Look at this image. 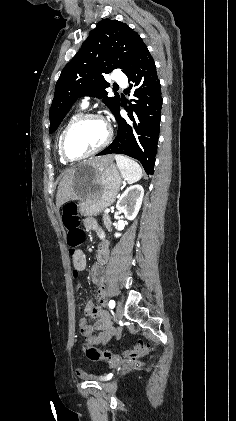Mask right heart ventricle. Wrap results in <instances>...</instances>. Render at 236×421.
I'll list each match as a JSON object with an SVG mask.
<instances>
[{"label": "right heart ventricle", "instance_id": "right-heart-ventricle-1", "mask_svg": "<svg viewBox=\"0 0 236 421\" xmlns=\"http://www.w3.org/2000/svg\"><path fill=\"white\" fill-rule=\"evenodd\" d=\"M76 116H77V114H74L73 116H71V117L68 119L67 123H66V124H65V126L63 127V129H62V131H61V133H60V135H59V137H58V141H57L58 154H59V157H60V161H61L62 163H64V164H66L67 162L63 159V157L61 156V153H60V141H61V136H62V134H63V131H64V130H65V128L67 127V125H68V124H69L72 120H74Z\"/></svg>", "mask_w": 236, "mask_h": 421}]
</instances>
